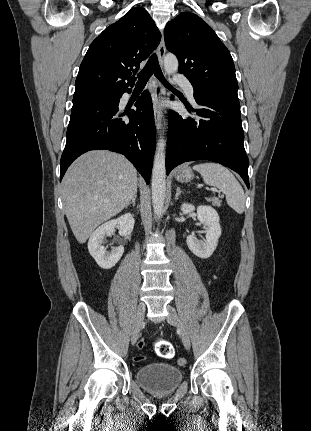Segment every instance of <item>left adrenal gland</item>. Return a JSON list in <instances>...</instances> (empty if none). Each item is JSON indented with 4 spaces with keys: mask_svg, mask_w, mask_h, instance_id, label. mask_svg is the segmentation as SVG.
<instances>
[{
    "mask_svg": "<svg viewBox=\"0 0 311 431\" xmlns=\"http://www.w3.org/2000/svg\"><path fill=\"white\" fill-rule=\"evenodd\" d=\"M180 194H182L180 188H177V192L175 194V200H178V196H180Z\"/></svg>",
    "mask_w": 311,
    "mask_h": 431,
    "instance_id": "1",
    "label": "left adrenal gland"
}]
</instances>
